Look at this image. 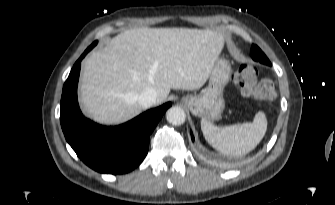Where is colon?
I'll return each mask as SVG.
<instances>
[{
	"label": "colon",
	"instance_id": "1",
	"mask_svg": "<svg viewBox=\"0 0 335 205\" xmlns=\"http://www.w3.org/2000/svg\"><path fill=\"white\" fill-rule=\"evenodd\" d=\"M234 81L245 96L267 100L275 95L273 82L270 79L258 81L257 70L252 65H241L234 74Z\"/></svg>",
	"mask_w": 335,
	"mask_h": 205
}]
</instances>
